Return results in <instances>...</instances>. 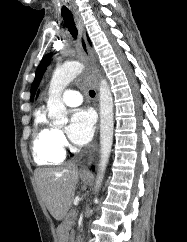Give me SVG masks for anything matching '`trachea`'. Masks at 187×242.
Here are the masks:
<instances>
[{
  "label": "trachea",
  "mask_w": 187,
  "mask_h": 242,
  "mask_svg": "<svg viewBox=\"0 0 187 242\" xmlns=\"http://www.w3.org/2000/svg\"><path fill=\"white\" fill-rule=\"evenodd\" d=\"M62 17H63L64 23H65V26L68 28L70 34L76 39L78 31L75 26L72 13L71 12H62ZM89 95L91 97H94L95 92L93 90H90Z\"/></svg>",
  "instance_id": "obj_1"
}]
</instances>
